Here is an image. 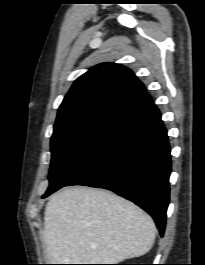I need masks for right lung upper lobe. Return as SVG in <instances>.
Returning a JSON list of instances; mask_svg holds the SVG:
<instances>
[{
  "label": "right lung upper lobe",
  "mask_w": 205,
  "mask_h": 265,
  "mask_svg": "<svg viewBox=\"0 0 205 265\" xmlns=\"http://www.w3.org/2000/svg\"><path fill=\"white\" fill-rule=\"evenodd\" d=\"M154 103L127 67L102 63L80 76L58 109L54 133L97 123L126 126Z\"/></svg>",
  "instance_id": "1"
}]
</instances>
